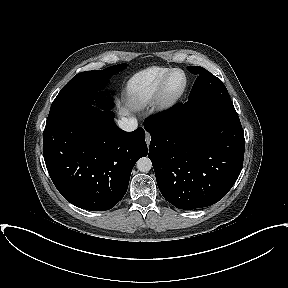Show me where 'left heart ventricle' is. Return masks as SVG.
<instances>
[{
    "label": "left heart ventricle",
    "mask_w": 288,
    "mask_h": 288,
    "mask_svg": "<svg viewBox=\"0 0 288 288\" xmlns=\"http://www.w3.org/2000/svg\"><path fill=\"white\" fill-rule=\"evenodd\" d=\"M182 81H183V77L180 73H176L172 79H171V82H170V88L171 90H176L178 89L181 84H182Z\"/></svg>",
    "instance_id": "left-heart-ventricle-1"
}]
</instances>
